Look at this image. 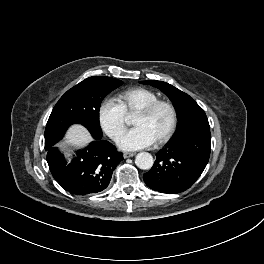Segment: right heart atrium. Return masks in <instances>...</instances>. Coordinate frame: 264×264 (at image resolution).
Masks as SVG:
<instances>
[{
    "mask_svg": "<svg viewBox=\"0 0 264 264\" xmlns=\"http://www.w3.org/2000/svg\"><path fill=\"white\" fill-rule=\"evenodd\" d=\"M98 122L101 129L117 141L126 129V114L118 102L108 98L98 108Z\"/></svg>",
    "mask_w": 264,
    "mask_h": 264,
    "instance_id": "1",
    "label": "right heart atrium"
}]
</instances>
